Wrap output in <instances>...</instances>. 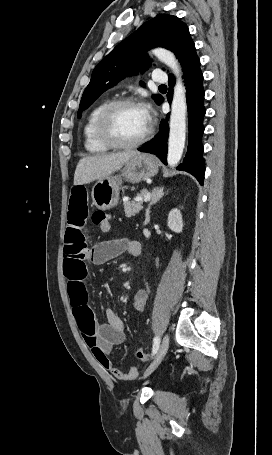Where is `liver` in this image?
Wrapping results in <instances>:
<instances>
[{
	"label": "liver",
	"instance_id": "6515ba94",
	"mask_svg": "<svg viewBox=\"0 0 272 455\" xmlns=\"http://www.w3.org/2000/svg\"><path fill=\"white\" fill-rule=\"evenodd\" d=\"M137 151H126L109 155H96L82 158L75 170L74 185H83L95 180H102L122 168Z\"/></svg>",
	"mask_w": 272,
	"mask_h": 455
}]
</instances>
